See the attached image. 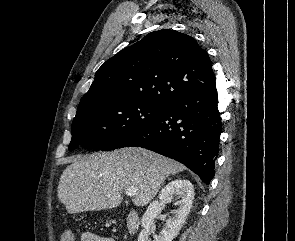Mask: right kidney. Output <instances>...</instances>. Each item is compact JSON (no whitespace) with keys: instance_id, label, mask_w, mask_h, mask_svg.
<instances>
[{"instance_id":"ca27d5eb","label":"right kidney","mask_w":295,"mask_h":241,"mask_svg":"<svg viewBox=\"0 0 295 241\" xmlns=\"http://www.w3.org/2000/svg\"><path fill=\"white\" fill-rule=\"evenodd\" d=\"M194 188L192 183L186 179H177L169 182L159 193L158 199L153 201L144 213L141 225L143 227L138 241H151L150 235L154 234V219L161 213L163 208L172 199L177 200L179 208L174 216L170 217L165 228L159 235H154V241H172L184 225L187 215L192 207L194 199Z\"/></svg>"}]
</instances>
